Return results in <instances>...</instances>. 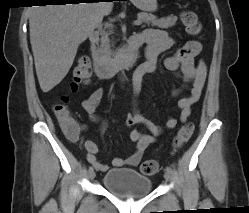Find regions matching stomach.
<instances>
[{"instance_id": "1", "label": "stomach", "mask_w": 249, "mask_h": 213, "mask_svg": "<svg viewBox=\"0 0 249 213\" xmlns=\"http://www.w3.org/2000/svg\"><path fill=\"white\" fill-rule=\"evenodd\" d=\"M131 2L145 12H153L157 9V0H131Z\"/></svg>"}]
</instances>
